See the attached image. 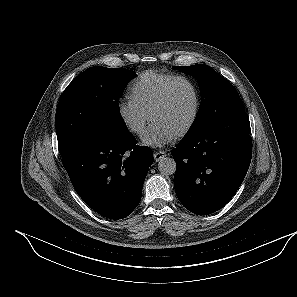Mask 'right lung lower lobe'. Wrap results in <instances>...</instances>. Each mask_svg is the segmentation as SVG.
Segmentation results:
<instances>
[{
  "mask_svg": "<svg viewBox=\"0 0 297 297\" xmlns=\"http://www.w3.org/2000/svg\"><path fill=\"white\" fill-rule=\"evenodd\" d=\"M153 160L129 132L112 131L91 134L62 156L76 192L109 219H123L138 206Z\"/></svg>",
  "mask_w": 297,
  "mask_h": 297,
  "instance_id": "obj_1",
  "label": "right lung lower lobe"
}]
</instances>
